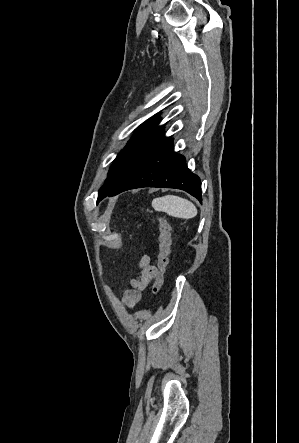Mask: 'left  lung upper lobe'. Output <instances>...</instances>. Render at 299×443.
<instances>
[{
    "label": "left lung upper lobe",
    "mask_w": 299,
    "mask_h": 443,
    "mask_svg": "<svg viewBox=\"0 0 299 443\" xmlns=\"http://www.w3.org/2000/svg\"><path fill=\"white\" fill-rule=\"evenodd\" d=\"M155 123V120L143 123L118 154L108 172L105 184L99 190L98 198L104 191L114 187L131 167L165 140L163 132L155 126Z\"/></svg>",
    "instance_id": "obj_1"
}]
</instances>
